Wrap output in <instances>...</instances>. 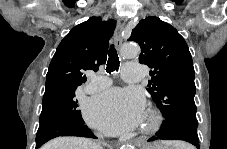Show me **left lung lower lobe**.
I'll return each mask as SVG.
<instances>
[{
	"mask_svg": "<svg viewBox=\"0 0 227 149\" xmlns=\"http://www.w3.org/2000/svg\"><path fill=\"white\" fill-rule=\"evenodd\" d=\"M198 121L194 117L174 115L165 118L160 130L148 141L154 140H184L199 149L197 135Z\"/></svg>",
	"mask_w": 227,
	"mask_h": 149,
	"instance_id": "0a47b994",
	"label": "left lung lower lobe"
}]
</instances>
